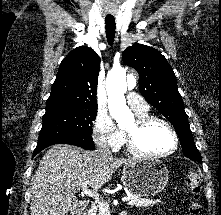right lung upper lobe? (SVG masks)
Returning <instances> with one entry per match:
<instances>
[{"label":"right lung upper lobe","mask_w":221,"mask_h":215,"mask_svg":"<svg viewBox=\"0 0 221 215\" xmlns=\"http://www.w3.org/2000/svg\"><path fill=\"white\" fill-rule=\"evenodd\" d=\"M100 58L88 47L72 50L61 62L46 102V113L66 109H97Z\"/></svg>","instance_id":"obj_1"}]
</instances>
